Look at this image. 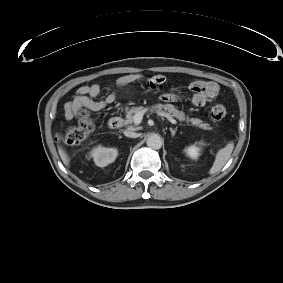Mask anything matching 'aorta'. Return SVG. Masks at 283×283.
<instances>
[{"label": "aorta", "instance_id": "762f6f07", "mask_svg": "<svg viewBox=\"0 0 283 283\" xmlns=\"http://www.w3.org/2000/svg\"><path fill=\"white\" fill-rule=\"evenodd\" d=\"M162 139L159 135L153 134L147 138L146 144L149 148L158 150L162 147Z\"/></svg>", "mask_w": 283, "mask_h": 283}]
</instances>
